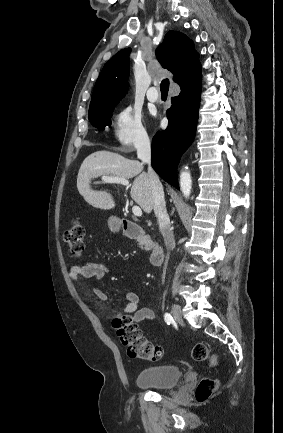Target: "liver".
Instances as JSON below:
<instances>
[{"mask_svg": "<svg viewBox=\"0 0 283 433\" xmlns=\"http://www.w3.org/2000/svg\"><path fill=\"white\" fill-rule=\"evenodd\" d=\"M143 162L129 160L117 152L97 150L84 158L77 176V188L86 202L96 208H114L115 200L107 190H93L90 186L91 178L96 176H119V178H133L130 194L131 198L143 208L144 212H151L154 206L152 188L147 172H143ZM138 174V176H137Z\"/></svg>", "mask_w": 283, "mask_h": 433, "instance_id": "obj_1", "label": "liver"}]
</instances>
